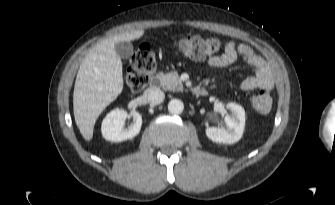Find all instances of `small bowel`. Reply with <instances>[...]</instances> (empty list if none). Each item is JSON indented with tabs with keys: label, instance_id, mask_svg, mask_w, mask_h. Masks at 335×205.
I'll list each match as a JSON object with an SVG mask.
<instances>
[{
	"label": "small bowel",
	"instance_id": "c3829d8e",
	"mask_svg": "<svg viewBox=\"0 0 335 205\" xmlns=\"http://www.w3.org/2000/svg\"><path fill=\"white\" fill-rule=\"evenodd\" d=\"M243 59L254 69L253 75L244 79L241 83L243 90H253L257 88L268 89L271 87V80L268 75L264 61L256 55L247 45H235L228 43L224 53L209 60V64L214 67H226L236 61Z\"/></svg>",
	"mask_w": 335,
	"mask_h": 205
}]
</instances>
